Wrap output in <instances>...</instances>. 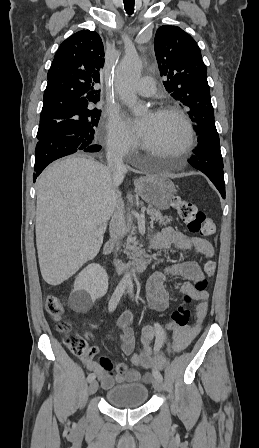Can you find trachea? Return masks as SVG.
Returning <instances> with one entry per match:
<instances>
[{
	"instance_id": "trachea-1",
	"label": "trachea",
	"mask_w": 259,
	"mask_h": 448,
	"mask_svg": "<svg viewBox=\"0 0 259 448\" xmlns=\"http://www.w3.org/2000/svg\"><path fill=\"white\" fill-rule=\"evenodd\" d=\"M127 14L131 15L134 11L135 0H123Z\"/></svg>"
}]
</instances>
